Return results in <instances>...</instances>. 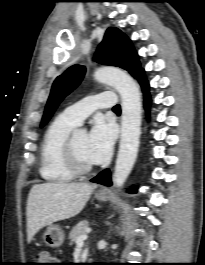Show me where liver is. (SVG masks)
<instances>
[{
	"label": "liver",
	"mask_w": 205,
	"mask_h": 265,
	"mask_svg": "<svg viewBox=\"0 0 205 265\" xmlns=\"http://www.w3.org/2000/svg\"><path fill=\"white\" fill-rule=\"evenodd\" d=\"M96 187V184L64 182L34 185L26 208L28 242L43 227L78 215Z\"/></svg>",
	"instance_id": "liver-1"
}]
</instances>
